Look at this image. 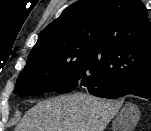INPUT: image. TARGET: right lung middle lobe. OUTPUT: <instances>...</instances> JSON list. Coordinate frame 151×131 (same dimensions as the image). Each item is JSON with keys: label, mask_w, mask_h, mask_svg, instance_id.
I'll return each instance as SVG.
<instances>
[{"label": "right lung middle lobe", "mask_w": 151, "mask_h": 131, "mask_svg": "<svg viewBox=\"0 0 151 131\" xmlns=\"http://www.w3.org/2000/svg\"><path fill=\"white\" fill-rule=\"evenodd\" d=\"M82 80H106L95 59L83 48L74 43L33 47L13 92L21 96L48 91L68 93Z\"/></svg>", "instance_id": "obj_1"}]
</instances>
